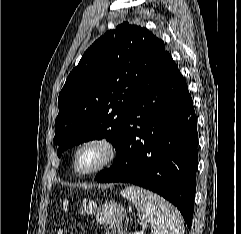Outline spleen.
I'll list each match as a JSON object with an SVG mask.
<instances>
[{
  "instance_id": "obj_1",
  "label": "spleen",
  "mask_w": 241,
  "mask_h": 234,
  "mask_svg": "<svg viewBox=\"0 0 241 234\" xmlns=\"http://www.w3.org/2000/svg\"><path fill=\"white\" fill-rule=\"evenodd\" d=\"M121 195L135 205L153 234H184L180 213L161 196L134 185L123 189Z\"/></svg>"
}]
</instances>
